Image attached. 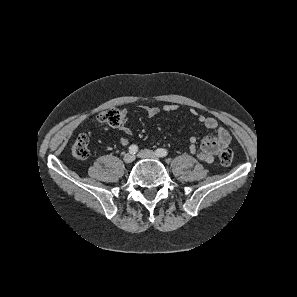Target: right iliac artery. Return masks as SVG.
Wrapping results in <instances>:
<instances>
[{"label":"right iliac artery","instance_id":"82829eb1","mask_svg":"<svg viewBox=\"0 0 297 297\" xmlns=\"http://www.w3.org/2000/svg\"><path fill=\"white\" fill-rule=\"evenodd\" d=\"M130 154H136L138 152V147L136 145H131L129 147Z\"/></svg>","mask_w":297,"mask_h":297}]
</instances>
